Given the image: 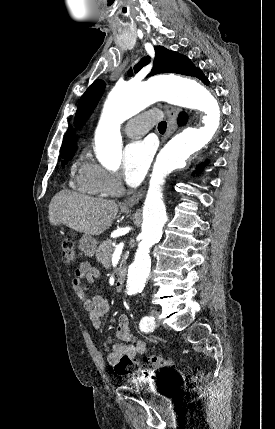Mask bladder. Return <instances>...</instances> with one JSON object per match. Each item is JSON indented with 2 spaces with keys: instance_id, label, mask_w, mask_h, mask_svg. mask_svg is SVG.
<instances>
[{
  "instance_id": "bladder-1",
  "label": "bladder",
  "mask_w": 275,
  "mask_h": 429,
  "mask_svg": "<svg viewBox=\"0 0 275 429\" xmlns=\"http://www.w3.org/2000/svg\"><path fill=\"white\" fill-rule=\"evenodd\" d=\"M151 384H135V393H147L148 398H175L174 377H151Z\"/></svg>"
}]
</instances>
